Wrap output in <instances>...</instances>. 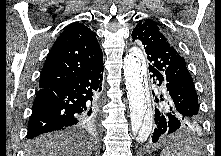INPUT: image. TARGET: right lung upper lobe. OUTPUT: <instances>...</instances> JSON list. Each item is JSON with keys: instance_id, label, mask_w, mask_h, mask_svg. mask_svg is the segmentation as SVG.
<instances>
[{"instance_id": "obj_1", "label": "right lung upper lobe", "mask_w": 221, "mask_h": 156, "mask_svg": "<svg viewBox=\"0 0 221 156\" xmlns=\"http://www.w3.org/2000/svg\"><path fill=\"white\" fill-rule=\"evenodd\" d=\"M97 34L79 22L70 24L55 41L44 63L39 89L52 88L103 64Z\"/></svg>"}]
</instances>
